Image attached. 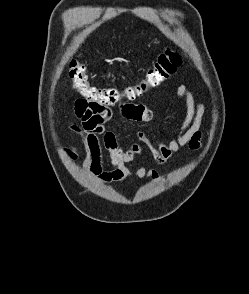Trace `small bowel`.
Segmentation results:
<instances>
[{"label": "small bowel", "instance_id": "1", "mask_svg": "<svg viewBox=\"0 0 249 294\" xmlns=\"http://www.w3.org/2000/svg\"><path fill=\"white\" fill-rule=\"evenodd\" d=\"M176 96L186 110L178 133L168 139L151 140L142 131H136L134 142L127 146H123L122 136L109 125L114 117L110 106H92L84 99L76 100L75 113L83 127L82 130L77 125L71 128L82 141L83 172L101 184L125 183L129 180L157 182L160 174L156 169H150L146 163H143L132 171L127 164L138 157L144 158L147 150L156 164L167 168L169 163H175L182 157V147L199 150L203 139L201 125L205 106L203 103H196L191 92L184 85L176 88ZM117 106L120 116L131 123L146 124L155 118L154 110L143 104L120 101ZM63 152L71 160L78 158V152L73 146L65 148ZM104 152L109 157V169L105 168Z\"/></svg>", "mask_w": 249, "mask_h": 294}]
</instances>
